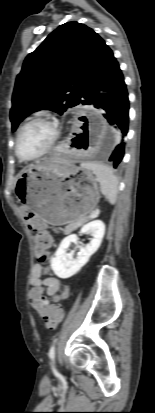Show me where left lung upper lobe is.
Listing matches in <instances>:
<instances>
[{
    "label": "left lung upper lobe",
    "instance_id": "obj_1",
    "mask_svg": "<svg viewBox=\"0 0 155 413\" xmlns=\"http://www.w3.org/2000/svg\"><path fill=\"white\" fill-rule=\"evenodd\" d=\"M105 41L76 21L60 25L30 53L12 96V131L29 114L48 109L63 114L81 102L89 76L107 49Z\"/></svg>",
    "mask_w": 155,
    "mask_h": 413
}]
</instances>
